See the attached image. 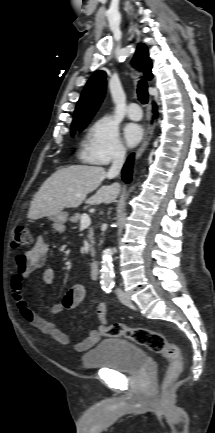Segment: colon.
I'll list each match as a JSON object with an SVG mask.
<instances>
[{
    "mask_svg": "<svg viewBox=\"0 0 215 433\" xmlns=\"http://www.w3.org/2000/svg\"><path fill=\"white\" fill-rule=\"evenodd\" d=\"M32 243V235L24 224H16L13 229L12 247L20 249ZM99 332L104 337H125L151 352L161 354L167 360L164 383L168 384L178 376L182 368L181 352L178 345L169 343L159 332L146 328H131L122 323L102 324Z\"/></svg>",
    "mask_w": 215,
    "mask_h": 433,
    "instance_id": "1",
    "label": "colon"
}]
</instances>
